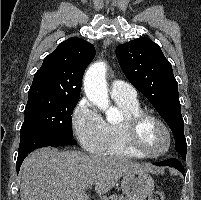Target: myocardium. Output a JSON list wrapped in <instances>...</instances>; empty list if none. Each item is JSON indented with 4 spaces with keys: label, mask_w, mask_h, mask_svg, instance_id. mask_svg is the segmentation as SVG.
Listing matches in <instances>:
<instances>
[{
    "label": "myocardium",
    "mask_w": 201,
    "mask_h": 200,
    "mask_svg": "<svg viewBox=\"0 0 201 200\" xmlns=\"http://www.w3.org/2000/svg\"><path fill=\"white\" fill-rule=\"evenodd\" d=\"M146 121H152L156 123L165 133L166 147L159 153H148L144 151L139 145L138 133L141 126ZM122 126L126 145L138 156L148 159H157L165 156L169 152L172 145V136L167 125L157 116L141 111L139 113L126 116L123 119Z\"/></svg>",
    "instance_id": "f54148a6"
}]
</instances>
